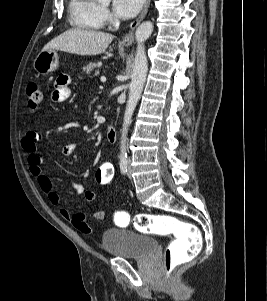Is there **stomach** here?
<instances>
[{"mask_svg": "<svg viewBox=\"0 0 267 301\" xmlns=\"http://www.w3.org/2000/svg\"><path fill=\"white\" fill-rule=\"evenodd\" d=\"M34 69L47 75L58 68V54L55 50L41 51L33 63Z\"/></svg>", "mask_w": 267, "mask_h": 301, "instance_id": "1", "label": "stomach"}]
</instances>
